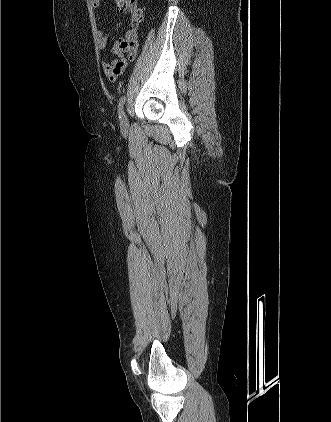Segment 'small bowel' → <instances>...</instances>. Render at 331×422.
<instances>
[{"instance_id": "c3829d8e", "label": "small bowel", "mask_w": 331, "mask_h": 422, "mask_svg": "<svg viewBox=\"0 0 331 422\" xmlns=\"http://www.w3.org/2000/svg\"><path fill=\"white\" fill-rule=\"evenodd\" d=\"M93 9L97 10L100 7V0H90ZM96 36L97 45L100 50L107 47L108 35L119 29L121 23H117L111 30H105L101 27V17L96 14ZM138 29L134 24L126 33L125 36L115 41L112 47V53L116 56L112 59L103 57L101 61L102 69L105 76L110 81H116L117 78L124 73L128 61L135 59L138 51Z\"/></svg>"}]
</instances>
